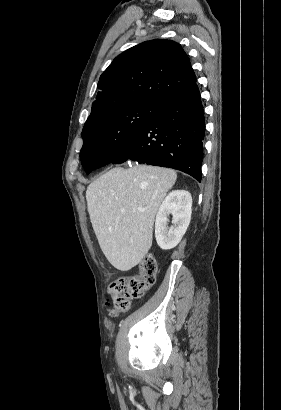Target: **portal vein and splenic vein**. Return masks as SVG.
Segmentation results:
<instances>
[{
	"label": "portal vein and splenic vein",
	"instance_id": "portal-vein-and-splenic-vein-1",
	"mask_svg": "<svg viewBox=\"0 0 281 410\" xmlns=\"http://www.w3.org/2000/svg\"><path fill=\"white\" fill-rule=\"evenodd\" d=\"M138 210L141 211V212L144 211V209L140 208V207L138 208ZM121 212H125V209H121Z\"/></svg>",
	"mask_w": 281,
	"mask_h": 410
}]
</instances>
